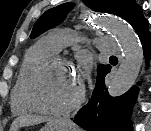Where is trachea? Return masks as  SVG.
<instances>
[{
	"mask_svg": "<svg viewBox=\"0 0 151 131\" xmlns=\"http://www.w3.org/2000/svg\"><path fill=\"white\" fill-rule=\"evenodd\" d=\"M110 58H116L115 56H111Z\"/></svg>",
	"mask_w": 151,
	"mask_h": 131,
	"instance_id": "3493384b",
	"label": "trachea"
}]
</instances>
